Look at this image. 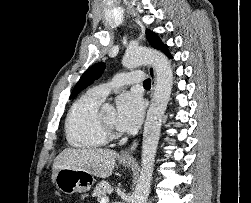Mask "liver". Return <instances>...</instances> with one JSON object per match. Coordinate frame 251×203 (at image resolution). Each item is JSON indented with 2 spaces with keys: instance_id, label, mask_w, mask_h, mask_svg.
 <instances>
[{
  "instance_id": "liver-1",
  "label": "liver",
  "mask_w": 251,
  "mask_h": 203,
  "mask_svg": "<svg viewBox=\"0 0 251 203\" xmlns=\"http://www.w3.org/2000/svg\"><path fill=\"white\" fill-rule=\"evenodd\" d=\"M116 157L117 153L108 149L67 148L54 160L51 176L52 182H55L57 172L63 168L84 170L93 176L107 178L113 172Z\"/></svg>"
}]
</instances>
